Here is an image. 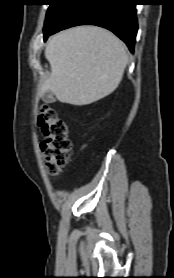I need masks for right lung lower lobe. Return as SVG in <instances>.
Listing matches in <instances>:
<instances>
[{"mask_svg":"<svg viewBox=\"0 0 174 278\" xmlns=\"http://www.w3.org/2000/svg\"><path fill=\"white\" fill-rule=\"evenodd\" d=\"M135 6L136 0H77L53 28L44 32V40L63 29L92 24L111 30L133 52L138 29Z\"/></svg>","mask_w":174,"mask_h":278,"instance_id":"1","label":"right lung lower lobe"}]
</instances>
